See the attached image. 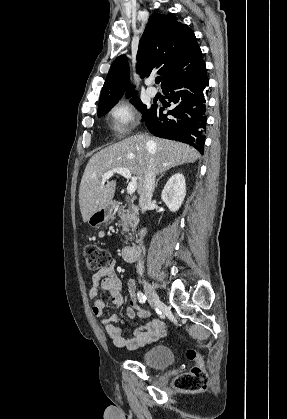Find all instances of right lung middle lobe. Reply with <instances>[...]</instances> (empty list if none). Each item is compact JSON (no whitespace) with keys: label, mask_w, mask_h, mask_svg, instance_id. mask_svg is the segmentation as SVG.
Returning <instances> with one entry per match:
<instances>
[{"label":"right lung middle lobe","mask_w":287,"mask_h":419,"mask_svg":"<svg viewBox=\"0 0 287 419\" xmlns=\"http://www.w3.org/2000/svg\"><path fill=\"white\" fill-rule=\"evenodd\" d=\"M132 103L141 111L143 119L145 121L148 116L151 114L153 110V106L151 108H147L146 105L142 104V102L138 98H133ZM116 103L103 106L98 109V117L105 115Z\"/></svg>","instance_id":"obj_1"}]
</instances>
